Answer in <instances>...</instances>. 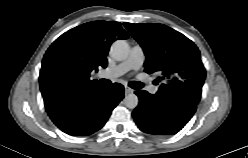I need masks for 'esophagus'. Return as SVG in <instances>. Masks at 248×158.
I'll return each mask as SVG.
<instances>
[{
    "instance_id": "34e87169",
    "label": "esophagus",
    "mask_w": 248,
    "mask_h": 158,
    "mask_svg": "<svg viewBox=\"0 0 248 158\" xmlns=\"http://www.w3.org/2000/svg\"><path fill=\"white\" fill-rule=\"evenodd\" d=\"M133 92V89H131L130 87L128 86H125V94H130Z\"/></svg>"
}]
</instances>
